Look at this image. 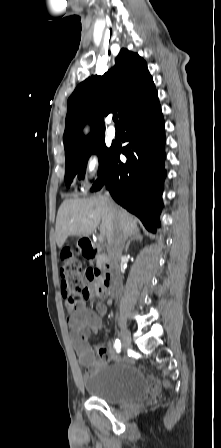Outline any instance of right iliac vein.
Returning <instances> with one entry per match:
<instances>
[{"label": "right iliac vein", "instance_id": "1", "mask_svg": "<svg viewBox=\"0 0 221 448\" xmlns=\"http://www.w3.org/2000/svg\"><path fill=\"white\" fill-rule=\"evenodd\" d=\"M120 334H121L123 347L130 348L132 339H131V334H130L129 330L126 327L121 326Z\"/></svg>", "mask_w": 221, "mask_h": 448}]
</instances>
